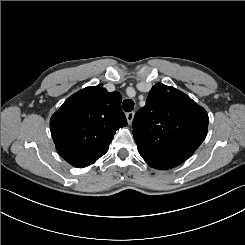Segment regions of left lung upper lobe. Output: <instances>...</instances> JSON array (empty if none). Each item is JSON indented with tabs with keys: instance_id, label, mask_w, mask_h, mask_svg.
<instances>
[{
	"instance_id": "obj_1",
	"label": "left lung upper lobe",
	"mask_w": 245,
	"mask_h": 245,
	"mask_svg": "<svg viewBox=\"0 0 245 245\" xmlns=\"http://www.w3.org/2000/svg\"><path fill=\"white\" fill-rule=\"evenodd\" d=\"M132 128L140 155L168 153L186 161L206 137L208 114L185 93L157 83Z\"/></svg>"
}]
</instances>
